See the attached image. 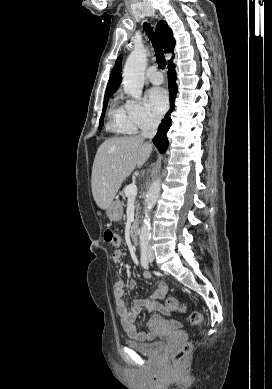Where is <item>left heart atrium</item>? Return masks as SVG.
<instances>
[{"label":"left heart atrium","mask_w":272,"mask_h":389,"mask_svg":"<svg viewBox=\"0 0 272 389\" xmlns=\"http://www.w3.org/2000/svg\"><path fill=\"white\" fill-rule=\"evenodd\" d=\"M147 105L156 114H163L168 107L167 93L162 88H152L147 92Z\"/></svg>","instance_id":"1"}]
</instances>
